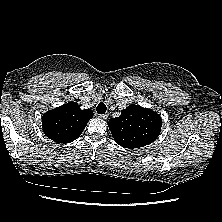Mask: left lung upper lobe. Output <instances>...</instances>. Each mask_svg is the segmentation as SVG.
<instances>
[{"label": "left lung upper lobe", "instance_id": "left-lung-upper-lobe-1", "mask_svg": "<svg viewBox=\"0 0 222 222\" xmlns=\"http://www.w3.org/2000/svg\"><path fill=\"white\" fill-rule=\"evenodd\" d=\"M115 141L125 148H140L154 142L162 127L161 117L154 111L131 104L121 115L108 122Z\"/></svg>", "mask_w": 222, "mask_h": 222}]
</instances>
